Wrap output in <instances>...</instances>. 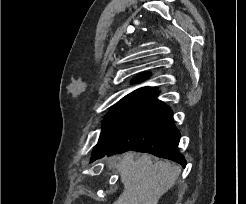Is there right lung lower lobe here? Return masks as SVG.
Wrapping results in <instances>:
<instances>
[{
    "label": "right lung lower lobe",
    "instance_id": "right-lung-lower-lobe-1",
    "mask_svg": "<svg viewBox=\"0 0 246 204\" xmlns=\"http://www.w3.org/2000/svg\"><path fill=\"white\" fill-rule=\"evenodd\" d=\"M157 95L155 91L131 105L105 155L134 150L170 159L185 167V158L178 151L180 133L174 125L172 111ZM105 155L92 157L91 161Z\"/></svg>",
    "mask_w": 246,
    "mask_h": 204
}]
</instances>
